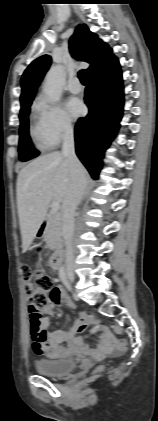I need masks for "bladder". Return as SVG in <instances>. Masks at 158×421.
<instances>
[{
    "label": "bladder",
    "instance_id": "obj_1",
    "mask_svg": "<svg viewBox=\"0 0 158 421\" xmlns=\"http://www.w3.org/2000/svg\"><path fill=\"white\" fill-rule=\"evenodd\" d=\"M76 364L77 362L74 358L65 356L56 359H38L34 365L39 374L58 377L73 371Z\"/></svg>",
    "mask_w": 158,
    "mask_h": 421
}]
</instances>
